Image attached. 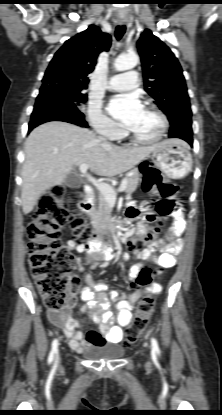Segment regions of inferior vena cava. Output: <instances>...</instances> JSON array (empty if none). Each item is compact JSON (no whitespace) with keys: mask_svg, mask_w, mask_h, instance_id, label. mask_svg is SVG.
<instances>
[{"mask_svg":"<svg viewBox=\"0 0 222 415\" xmlns=\"http://www.w3.org/2000/svg\"><path fill=\"white\" fill-rule=\"evenodd\" d=\"M99 140H100V141H102V142H104V143H108V142L106 141V139H105V138H103V137H99Z\"/></svg>","mask_w":222,"mask_h":415,"instance_id":"602c4592","label":"inferior vena cava"}]
</instances>
